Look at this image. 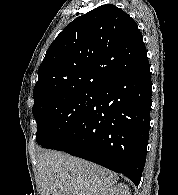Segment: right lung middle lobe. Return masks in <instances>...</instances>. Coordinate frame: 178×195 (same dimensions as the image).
Segmentation results:
<instances>
[{"instance_id": "1", "label": "right lung middle lobe", "mask_w": 178, "mask_h": 195, "mask_svg": "<svg viewBox=\"0 0 178 195\" xmlns=\"http://www.w3.org/2000/svg\"><path fill=\"white\" fill-rule=\"evenodd\" d=\"M96 96V90H79L50 98L34 107L37 143L43 148L54 149L66 133L84 118Z\"/></svg>"}]
</instances>
